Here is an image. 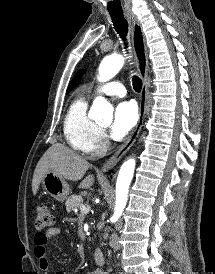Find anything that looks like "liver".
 Listing matches in <instances>:
<instances>
[{"label": "liver", "mask_w": 215, "mask_h": 274, "mask_svg": "<svg viewBox=\"0 0 215 274\" xmlns=\"http://www.w3.org/2000/svg\"><path fill=\"white\" fill-rule=\"evenodd\" d=\"M90 167L83 157L60 143L53 144L39 160L33 175L32 192L36 195L43 176L53 171L63 179L78 181ZM94 183V176H87L79 188H89Z\"/></svg>", "instance_id": "6515ba94"}]
</instances>
